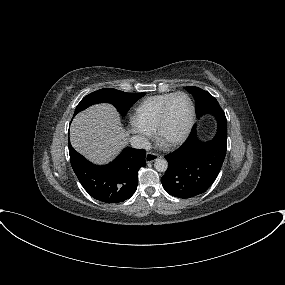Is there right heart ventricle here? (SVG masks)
Listing matches in <instances>:
<instances>
[{
  "instance_id": "obj_1",
  "label": "right heart ventricle",
  "mask_w": 285,
  "mask_h": 285,
  "mask_svg": "<svg viewBox=\"0 0 285 285\" xmlns=\"http://www.w3.org/2000/svg\"><path fill=\"white\" fill-rule=\"evenodd\" d=\"M173 94L165 93L146 98L135 108L133 120L151 131L154 130L165 103Z\"/></svg>"
}]
</instances>
